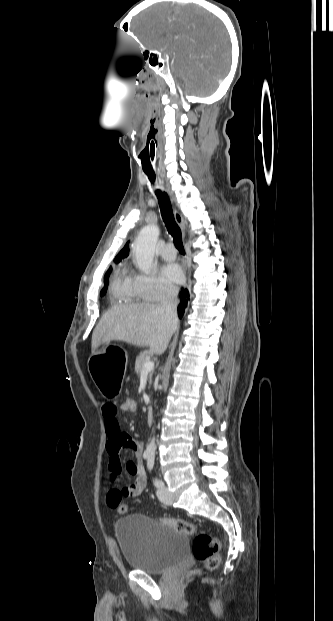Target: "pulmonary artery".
<instances>
[{"mask_svg":"<svg viewBox=\"0 0 333 621\" xmlns=\"http://www.w3.org/2000/svg\"><path fill=\"white\" fill-rule=\"evenodd\" d=\"M161 256L165 260H174L176 257V250L172 243H166L161 249Z\"/></svg>","mask_w":333,"mask_h":621,"instance_id":"obj_1","label":"pulmonary artery"}]
</instances>
